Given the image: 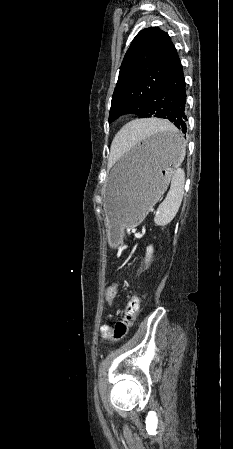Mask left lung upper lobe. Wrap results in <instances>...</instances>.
<instances>
[{
  "label": "left lung upper lobe",
  "instance_id": "left-lung-upper-lobe-1",
  "mask_svg": "<svg viewBox=\"0 0 233 449\" xmlns=\"http://www.w3.org/2000/svg\"><path fill=\"white\" fill-rule=\"evenodd\" d=\"M180 63L170 36L158 27L141 30L122 61L109 122L122 114L144 118L152 97Z\"/></svg>",
  "mask_w": 233,
  "mask_h": 449
}]
</instances>
